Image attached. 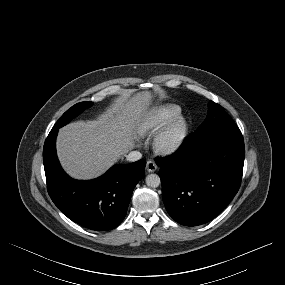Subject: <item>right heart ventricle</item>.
Returning <instances> with one entry per match:
<instances>
[{"instance_id":"e07e8e85","label":"right heart ventricle","mask_w":285,"mask_h":285,"mask_svg":"<svg viewBox=\"0 0 285 285\" xmlns=\"http://www.w3.org/2000/svg\"><path fill=\"white\" fill-rule=\"evenodd\" d=\"M179 106L171 103L160 104L147 110L139 119L137 131L142 136L159 132L172 118L180 114Z\"/></svg>"}]
</instances>
